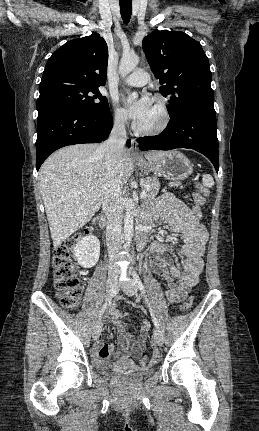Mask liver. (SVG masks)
<instances>
[{"label": "liver", "instance_id": "liver-1", "mask_svg": "<svg viewBox=\"0 0 259 431\" xmlns=\"http://www.w3.org/2000/svg\"><path fill=\"white\" fill-rule=\"evenodd\" d=\"M99 147L97 144L64 147L48 157L40 169V193L54 248L91 220L115 179L122 187L133 173L130 152L123 150L117 175L113 177ZM165 154V151H151L144 156L154 162Z\"/></svg>", "mask_w": 259, "mask_h": 431}]
</instances>
